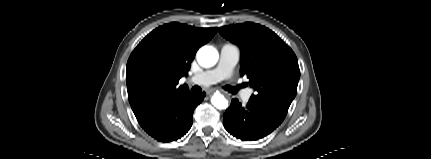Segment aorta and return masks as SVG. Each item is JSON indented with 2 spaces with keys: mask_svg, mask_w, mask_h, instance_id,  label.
Wrapping results in <instances>:
<instances>
[{
  "mask_svg": "<svg viewBox=\"0 0 431 159\" xmlns=\"http://www.w3.org/2000/svg\"><path fill=\"white\" fill-rule=\"evenodd\" d=\"M218 58V52L212 46H203L197 52V61L203 67L214 66ZM211 103L217 109H226L228 107V100L219 92L214 93Z\"/></svg>",
  "mask_w": 431,
  "mask_h": 159,
  "instance_id": "762f6f07",
  "label": "aorta"
}]
</instances>
